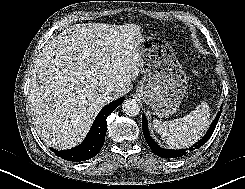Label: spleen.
I'll list each match as a JSON object with an SVG mask.
<instances>
[{"mask_svg": "<svg viewBox=\"0 0 245 189\" xmlns=\"http://www.w3.org/2000/svg\"><path fill=\"white\" fill-rule=\"evenodd\" d=\"M209 124L210 108L205 102L183 118L165 122L157 119L153 121L155 131L172 148L189 147L197 142L204 135Z\"/></svg>", "mask_w": 245, "mask_h": 189, "instance_id": "obj_1", "label": "spleen"}]
</instances>
